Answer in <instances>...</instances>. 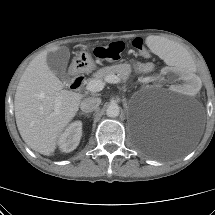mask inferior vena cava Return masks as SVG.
I'll return each mask as SVG.
<instances>
[{
    "label": "inferior vena cava",
    "instance_id": "602c4592",
    "mask_svg": "<svg viewBox=\"0 0 215 215\" xmlns=\"http://www.w3.org/2000/svg\"><path fill=\"white\" fill-rule=\"evenodd\" d=\"M100 103H101L100 98L88 97V98H85L81 102L80 108L83 112L89 113V112H93L94 110H96L98 108V106L100 105Z\"/></svg>",
    "mask_w": 215,
    "mask_h": 215
}]
</instances>
